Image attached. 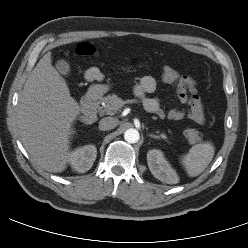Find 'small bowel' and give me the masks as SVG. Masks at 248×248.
I'll return each mask as SVG.
<instances>
[{"label":"small bowel","instance_id":"small-bowel-1","mask_svg":"<svg viewBox=\"0 0 248 248\" xmlns=\"http://www.w3.org/2000/svg\"><path fill=\"white\" fill-rule=\"evenodd\" d=\"M85 78L88 81L103 80V73L97 67H91L85 72ZM157 82L152 76H144L134 88L135 95L141 99L144 108L161 118H168L174 121H180L188 118L197 124H203L205 121L204 105L197 93L196 82L190 76H183L180 84L177 86V97L180 103L187 105L188 110L169 109L162 107L159 98L150 96L155 92Z\"/></svg>","mask_w":248,"mask_h":248}]
</instances>
